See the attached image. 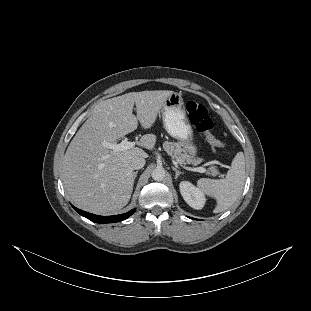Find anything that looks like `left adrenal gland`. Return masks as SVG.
<instances>
[{
	"instance_id": "left-adrenal-gland-1",
	"label": "left adrenal gland",
	"mask_w": 311,
	"mask_h": 311,
	"mask_svg": "<svg viewBox=\"0 0 311 311\" xmlns=\"http://www.w3.org/2000/svg\"><path fill=\"white\" fill-rule=\"evenodd\" d=\"M172 169L175 171V179H177L178 176H179L182 172L179 171L178 169H176L175 167H172Z\"/></svg>"
}]
</instances>
